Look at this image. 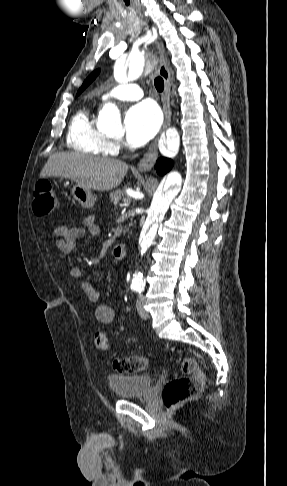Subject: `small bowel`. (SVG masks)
Segmentation results:
<instances>
[{"label": "small bowel", "instance_id": "obj_1", "mask_svg": "<svg viewBox=\"0 0 287 486\" xmlns=\"http://www.w3.org/2000/svg\"><path fill=\"white\" fill-rule=\"evenodd\" d=\"M55 235L54 244L62 253H70L76 244V241L86 235L95 236L100 232L99 226L95 223V216L88 215L82 218L81 223L77 226L59 225L52 228ZM118 261L117 259H115ZM70 276L77 280L82 291L91 303L95 305V318L101 324H109L114 320V309L101 301L100 293L97 286L85 279L84 271L79 267L70 269Z\"/></svg>", "mask_w": 287, "mask_h": 486}]
</instances>
